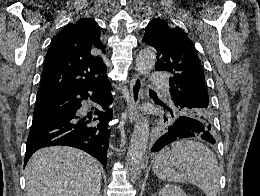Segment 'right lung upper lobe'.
<instances>
[{
    "label": "right lung upper lobe",
    "instance_id": "right-lung-upper-lobe-1",
    "mask_svg": "<svg viewBox=\"0 0 260 196\" xmlns=\"http://www.w3.org/2000/svg\"><path fill=\"white\" fill-rule=\"evenodd\" d=\"M100 27L90 18L65 26L45 57L36 106L107 79Z\"/></svg>",
    "mask_w": 260,
    "mask_h": 196
}]
</instances>
